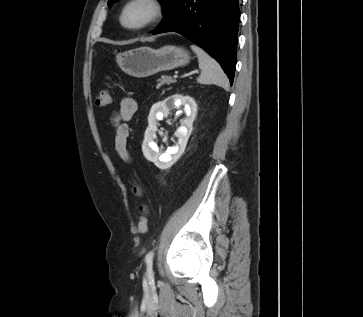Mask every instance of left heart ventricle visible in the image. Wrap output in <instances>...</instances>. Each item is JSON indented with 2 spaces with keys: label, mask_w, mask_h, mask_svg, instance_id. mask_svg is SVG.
Segmentation results:
<instances>
[{
  "label": "left heart ventricle",
  "mask_w": 363,
  "mask_h": 317,
  "mask_svg": "<svg viewBox=\"0 0 363 317\" xmlns=\"http://www.w3.org/2000/svg\"><path fill=\"white\" fill-rule=\"evenodd\" d=\"M147 14L145 7L135 5L131 7L125 17V22L129 25H134L140 22Z\"/></svg>",
  "instance_id": "left-heart-ventricle-1"
}]
</instances>
